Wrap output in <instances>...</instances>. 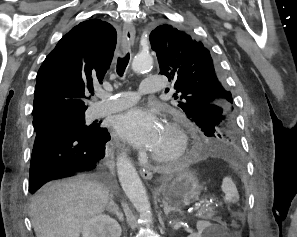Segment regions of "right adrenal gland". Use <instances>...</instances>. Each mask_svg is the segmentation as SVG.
Masks as SVG:
<instances>
[{"mask_svg":"<svg viewBox=\"0 0 297 237\" xmlns=\"http://www.w3.org/2000/svg\"><path fill=\"white\" fill-rule=\"evenodd\" d=\"M106 210L111 214H115L119 221L121 222L124 221V216L121 212H119V207L114 202L112 195L110 196V201H109V204L106 206Z\"/></svg>","mask_w":297,"mask_h":237,"instance_id":"right-adrenal-gland-1","label":"right adrenal gland"}]
</instances>
